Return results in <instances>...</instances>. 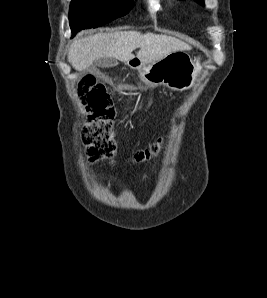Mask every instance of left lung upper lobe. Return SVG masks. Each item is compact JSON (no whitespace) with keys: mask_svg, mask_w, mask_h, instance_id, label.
<instances>
[{"mask_svg":"<svg viewBox=\"0 0 267 298\" xmlns=\"http://www.w3.org/2000/svg\"><path fill=\"white\" fill-rule=\"evenodd\" d=\"M195 1L199 2L201 5H204L203 0H195Z\"/></svg>","mask_w":267,"mask_h":298,"instance_id":"left-lung-upper-lobe-1","label":"left lung upper lobe"}]
</instances>
